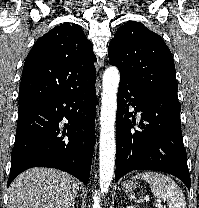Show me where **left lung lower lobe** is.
Returning a JSON list of instances; mask_svg holds the SVG:
<instances>
[{
  "mask_svg": "<svg viewBox=\"0 0 199 208\" xmlns=\"http://www.w3.org/2000/svg\"><path fill=\"white\" fill-rule=\"evenodd\" d=\"M134 112H128L129 106ZM180 103L151 94L121 78L116 114L115 181L133 170L172 174L190 190V174L183 145ZM141 112L140 129L135 118Z\"/></svg>",
  "mask_w": 199,
  "mask_h": 208,
  "instance_id": "0a47b994",
  "label": "left lung lower lobe"
}]
</instances>
